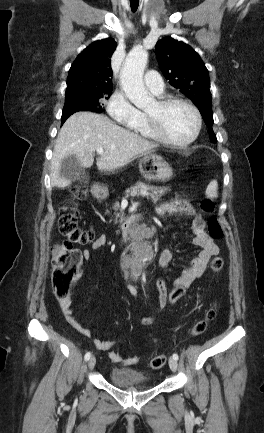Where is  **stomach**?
<instances>
[{
	"label": "stomach",
	"instance_id": "0dacf381",
	"mask_svg": "<svg viewBox=\"0 0 264 433\" xmlns=\"http://www.w3.org/2000/svg\"><path fill=\"white\" fill-rule=\"evenodd\" d=\"M139 170L148 181L167 182L173 177L170 164L154 154H146L139 160Z\"/></svg>",
	"mask_w": 264,
	"mask_h": 433
}]
</instances>
